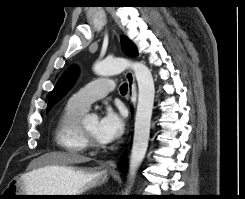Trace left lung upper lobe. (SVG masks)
Returning <instances> with one entry per match:
<instances>
[{
  "label": "left lung upper lobe",
  "instance_id": "5c2ea615",
  "mask_svg": "<svg viewBox=\"0 0 245 199\" xmlns=\"http://www.w3.org/2000/svg\"><path fill=\"white\" fill-rule=\"evenodd\" d=\"M122 48L124 53L130 57H136L138 54L133 43L129 39L124 37H122ZM77 73L78 71L76 68L70 67L61 76V78L57 82L56 86L54 87L50 95L47 111H49L50 108L64 96V94L67 92V90L71 87V85L75 81Z\"/></svg>",
  "mask_w": 245,
  "mask_h": 199
}]
</instances>
